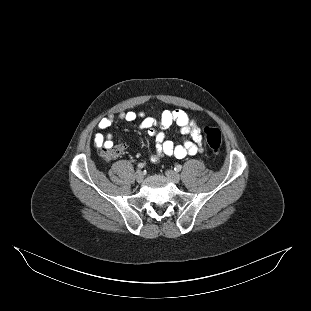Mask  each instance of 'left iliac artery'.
I'll return each instance as SVG.
<instances>
[{
	"mask_svg": "<svg viewBox=\"0 0 311 311\" xmlns=\"http://www.w3.org/2000/svg\"><path fill=\"white\" fill-rule=\"evenodd\" d=\"M182 169V166L180 164L175 165L174 170L175 171H180Z\"/></svg>",
	"mask_w": 311,
	"mask_h": 311,
	"instance_id": "1",
	"label": "left iliac artery"
}]
</instances>
